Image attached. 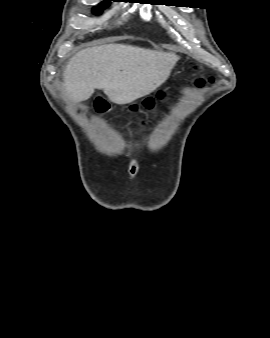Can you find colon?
Wrapping results in <instances>:
<instances>
[{
    "instance_id": "colon-1",
    "label": "colon",
    "mask_w": 270,
    "mask_h": 338,
    "mask_svg": "<svg viewBox=\"0 0 270 338\" xmlns=\"http://www.w3.org/2000/svg\"><path fill=\"white\" fill-rule=\"evenodd\" d=\"M211 82L214 81L213 78H210L209 79ZM203 83V80L202 79H199L198 80V84H202ZM157 97L159 99H164L165 98V93L164 92H158L157 94ZM155 104V99L150 97V98H147L145 101H144V106L148 109H152L153 106ZM95 107L98 111H105L108 107V104H107V101L104 99V98H98L95 102ZM132 109H136V106H133Z\"/></svg>"
}]
</instances>
